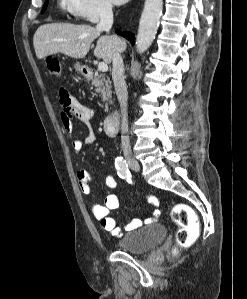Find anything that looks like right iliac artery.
<instances>
[{
  "label": "right iliac artery",
  "instance_id": "obj_1",
  "mask_svg": "<svg viewBox=\"0 0 247 299\" xmlns=\"http://www.w3.org/2000/svg\"><path fill=\"white\" fill-rule=\"evenodd\" d=\"M115 166L117 169V173L119 177L122 179H125L128 183H131V174L128 168V165L126 163V160H124L122 157H117L115 159Z\"/></svg>",
  "mask_w": 247,
  "mask_h": 299
}]
</instances>
